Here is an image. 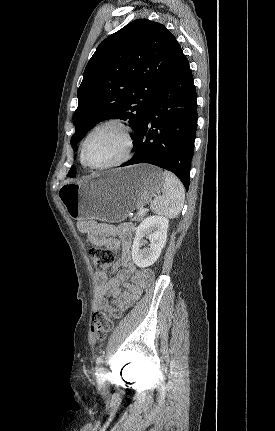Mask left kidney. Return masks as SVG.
<instances>
[{
    "instance_id": "1",
    "label": "left kidney",
    "mask_w": 275,
    "mask_h": 431,
    "mask_svg": "<svg viewBox=\"0 0 275 431\" xmlns=\"http://www.w3.org/2000/svg\"><path fill=\"white\" fill-rule=\"evenodd\" d=\"M169 220L163 216H149L136 229L132 245L133 262L140 268L149 267L159 258L166 244ZM150 241L149 248L140 249L144 236Z\"/></svg>"
}]
</instances>
